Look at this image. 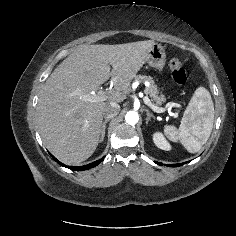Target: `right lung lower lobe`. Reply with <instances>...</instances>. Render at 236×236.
Listing matches in <instances>:
<instances>
[{
	"label": "right lung lower lobe",
	"mask_w": 236,
	"mask_h": 236,
	"mask_svg": "<svg viewBox=\"0 0 236 236\" xmlns=\"http://www.w3.org/2000/svg\"><path fill=\"white\" fill-rule=\"evenodd\" d=\"M51 156L60 165H62L64 167H67V168H70V169L75 170V171H83V170H87V169L93 168V167L97 166L98 164H100L104 160V157H103L100 160H97V161H95L93 163L87 164L86 166L73 167V166H66L65 164L59 162L53 155H51Z\"/></svg>",
	"instance_id": "98d812e1"
}]
</instances>
